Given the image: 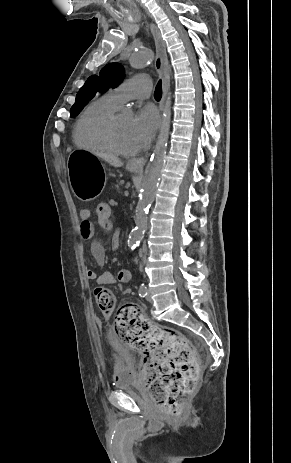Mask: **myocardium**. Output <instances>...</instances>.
<instances>
[{
  "mask_svg": "<svg viewBox=\"0 0 291 463\" xmlns=\"http://www.w3.org/2000/svg\"><path fill=\"white\" fill-rule=\"evenodd\" d=\"M119 115V113L114 112L103 120L97 122L92 129V135L107 151L124 157L135 156L139 153V148L133 151H127L121 149L114 142L113 128Z\"/></svg>",
  "mask_w": 291,
  "mask_h": 463,
  "instance_id": "obj_1",
  "label": "myocardium"
}]
</instances>
